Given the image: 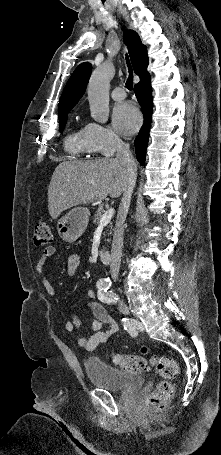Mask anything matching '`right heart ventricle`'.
Returning a JSON list of instances; mask_svg holds the SVG:
<instances>
[{
	"label": "right heart ventricle",
	"mask_w": 221,
	"mask_h": 455,
	"mask_svg": "<svg viewBox=\"0 0 221 455\" xmlns=\"http://www.w3.org/2000/svg\"><path fill=\"white\" fill-rule=\"evenodd\" d=\"M64 147L70 155L76 157L90 156L92 154L85 128L71 130L65 138Z\"/></svg>",
	"instance_id": "obj_1"
}]
</instances>
